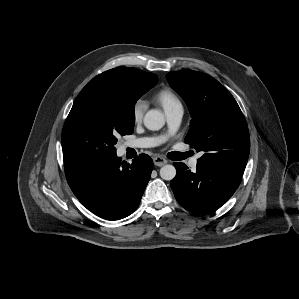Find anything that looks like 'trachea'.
Here are the masks:
<instances>
[{
	"label": "trachea",
	"mask_w": 299,
	"mask_h": 299,
	"mask_svg": "<svg viewBox=\"0 0 299 299\" xmlns=\"http://www.w3.org/2000/svg\"><path fill=\"white\" fill-rule=\"evenodd\" d=\"M189 156H190V154L188 152H186V153L172 152L169 155L170 159L175 160V161L184 160Z\"/></svg>",
	"instance_id": "1"
}]
</instances>
